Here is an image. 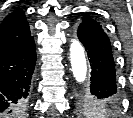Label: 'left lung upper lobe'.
Instances as JSON below:
<instances>
[{"mask_svg": "<svg viewBox=\"0 0 133 118\" xmlns=\"http://www.w3.org/2000/svg\"><path fill=\"white\" fill-rule=\"evenodd\" d=\"M80 25L94 27L103 31L99 22L87 15L82 18ZM118 103L112 99L97 100L86 88L81 89L77 95V111L82 116H93L114 111L117 109Z\"/></svg>", "mask_w": 133, "mask_h": 118, "instance_id": "obj_1", "label": "left lung upper lobe"}]
</instances>
